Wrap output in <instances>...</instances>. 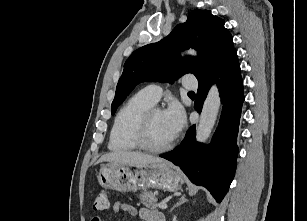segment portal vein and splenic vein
Segmentation results:
<instances>
[{"label":"portal vein and splenic vein","instance_id":"18ae733b","mask_svg":"<svg viewBox=\"0 0 307 221\" xmlns=\"http://www.w3.org/2000/svg\"><path fill=\"white\" fill-rule=\"evenodd\" d=\"M157 206H158L160 209H162V210H164V209H166V208H167V204H166V203H164V202H160V203H158V204H157Z\"/></svg>","mask_w":307,"mask_h":221}]
</instances>
